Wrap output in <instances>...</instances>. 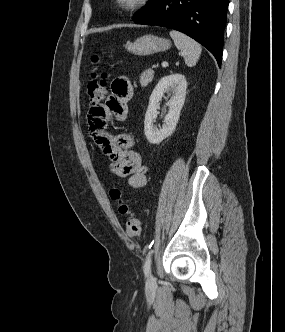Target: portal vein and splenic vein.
<instances>
[{
  "mask_svg": "<svg viewBox=\"0 0 285 332\" xmlns=\"http://www.w3.org/2000/svg\"><path fill=\"white\" fill-rule=\"evenodd\" d=\"M168 66V63L167 62H163L162 63V67H167Z\"/></svg>",
  "mask_w": 285,
  "mask_h": 332,
  "instance_id": "1",
  "label": "portal vein and splenic vein"
}]
</instances>
